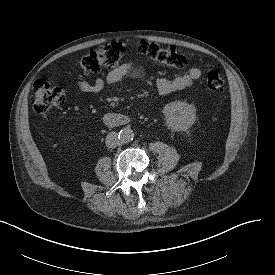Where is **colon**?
<instances>
[{"instance_id":"obj_1","label":"colon","mask_w":275,"mask_h":275,"mask_svg":"<svg viewBox=\"0 0 275 275\" xmlns=\"http://www.w3.org/2000/svg\"><path fill=\"white\" fill-rule=\"evenodd\" d=\"M137 51L168 67L181 69L188 65L187 58L174 48L142 42L138 45ZM124 54L125 49L122 44L110 43L82 55L76 64L85 73L98 74L105 69L117 66ZM205 85L210 91L217 92L223 90L225 81L219 72L211 70L206 74ZM64 101L65 93L62 89L42 79L34 83L31 106L36 114L44 115L52 108L62 105Z\"/></svg>"}]
</instances>
